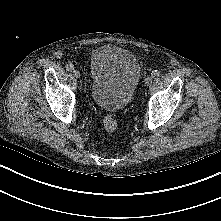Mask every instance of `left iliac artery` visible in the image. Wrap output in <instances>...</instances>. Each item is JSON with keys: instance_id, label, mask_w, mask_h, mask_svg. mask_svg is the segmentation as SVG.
Returning a JSON list of instances; mask_svg holds the SVG:
<instances>
[{"instance_id": "1", "label": "left iliac artery", "mask_w": 221, "mask_h": 221, "mask_svg": "<svg viewBox=\"0 0 221 221\" xmlns=\"http://www.w3.org/2000/svg\"><path fill=\"white\" fill-rule=\"evenodd\" d=\"M151 76L153 78H158L160 76V72L158 70H154L152 71Z\"/></svg>"}]
</instances>
